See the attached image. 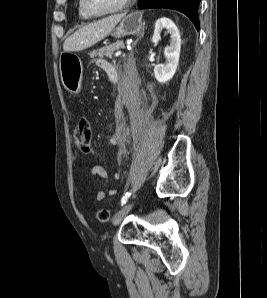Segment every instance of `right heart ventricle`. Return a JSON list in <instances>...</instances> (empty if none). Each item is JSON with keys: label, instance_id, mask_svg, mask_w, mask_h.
Returning a JSON list of instances; mask_svg holds the SVG:
<instances>
[{"label": "right heart ventricle", "instance_id": "1", "mask_svg": "<svg viewBox=\"0 0 267 298\" xmlns=\"http://www.w3.org/2000/svg\"><path fill=\"white\" fill-rule=\"evenodd\" d=\"M78 13H79V15H80L82 18H84V19H89V18H90V17L87 16V15L83 12V10L81 9L80 1H79V3H78Z\"/></svg>", "mask_w": 267, "mask_h": 298}]
</instances>
